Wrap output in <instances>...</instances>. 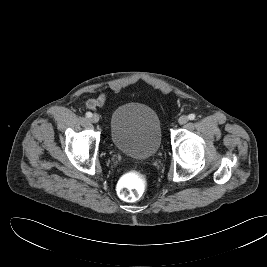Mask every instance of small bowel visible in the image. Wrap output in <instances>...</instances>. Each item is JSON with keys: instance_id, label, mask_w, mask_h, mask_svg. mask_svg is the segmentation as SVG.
<instances>
[{"instance_id": "1", "label": "small bowel", "mask_w": 267, "mask_h": 267, "mask_svg": "<svg viewBox=\"0 0 267 267\" xmlns=\"http://www.w3.org/2000/svg\"><path fill=\"white\" fill-rule=\"evenodd\" d=\"M107 95L105 92H101L97 97L87 100L86 108L96 109L103 107L106 104Z\"/></svg>"}]
</instances>
